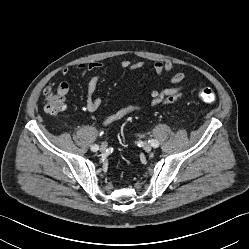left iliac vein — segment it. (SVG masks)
Instances as JSON below:
<instances>
[{
	"label": "left iliac vein",
	"instance_id": "obj_1",
	"mask_svg": "<svg viewBox=\"0 0 249 249\" xmlns=\"http://www.w3.org/2000/svg\"><path fill=\"white\" fill-rule=\"evenodd\" d=\"M143 149L146 151V152H150L152 150V145L149 143V142H145L143 144Z\"/></svg>",
	"mask_w": 249,
	"mask_h": 249
}]
</instances>
